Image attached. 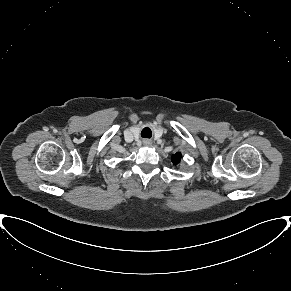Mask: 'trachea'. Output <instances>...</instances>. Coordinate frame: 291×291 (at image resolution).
I'll list each match as a JSON object with an SVG mask.
<instances>
[{
    "mask_svg": "<svg viewBox=\"0 0 291 291\" xmlns=\"http://www.w3.org/2000/svg\"><path fill=\"white\" fill-rule=\"evenodd\" d=\"M141 136H142L143 138H151V136H152V132H151V130H150L148 127H146V128H144V129L141 131Z\"/></svg>",
    "mask_w": 291,
    "mask_h": 291,
    "instance_id": "obj_1",
    "label": "trachea"
}]
</instances>
